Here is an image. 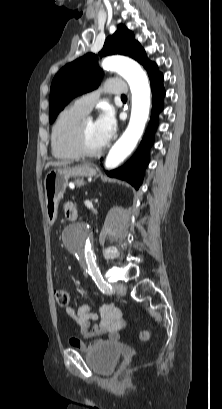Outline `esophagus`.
Segmentation results:
<instances>
[{"label":"esophagus","instance_id":"34e87169","mask_svg":"<svg viewBox=\"0 0 222 409\" xmlns=\"http://www.w3.org/2000/svg\"><path fill=\"white\" fill-rule=\"evenodd\" d=\"M128 107L130 108V98L128 97Z\"/></svg>","mask_w":222,"mask_h":409}]
</instances>
